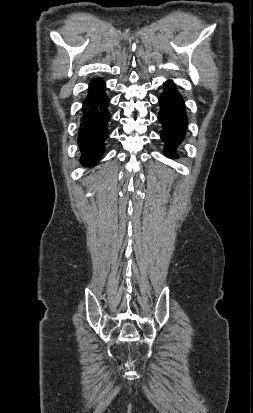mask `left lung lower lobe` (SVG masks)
<instances>
[{
	"instance_id": "1",
	"label": "left lung lower lobe",
	"mask_w": 253,
	"mask_h": 413,
	"mask_svg": "<svg viewBox=\"0 0 253 413\" xmlns=\"http://www.w3.org/2000/svg\"><path fill=\"white\" fill-rule=\"evenodd\" d=\"M164 86V92L159 97L161 110L158 119L163 125L161 138L165 142V154L177 158L175 150L185 137L188 120L183 98L174 83L167 81Z\"/></svg>"
}]
</instances>
